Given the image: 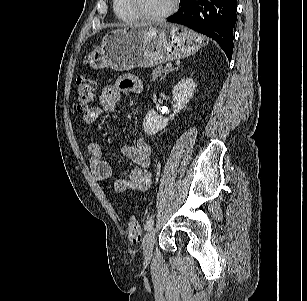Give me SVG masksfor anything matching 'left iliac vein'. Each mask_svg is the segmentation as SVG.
<instances>
[{
    "label": "left iliac vein",
    "instance_id": "1",
    "mask_svg": "<svg viewBox=\"0 0 307 301\" xmlns=\"http://www.w3.org/2000/svg\"><path fill=\"white\" fill-rule=\"evenodd\" d=\"M156 230L154 228L149 229L143 239V254L146 260H149L153 254V247L155 241Z\"/></svg>",
    "mask_w": 307,
    "mask_h": 301
}]
</instances>
